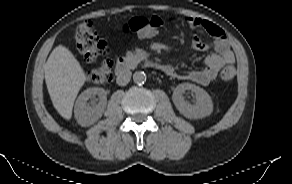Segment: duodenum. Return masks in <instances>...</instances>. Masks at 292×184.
Segmentation results:
<instances>
[{"instance_id": "410a0bca", "label": "duodenum", "mask_w": 292, "mask_h": 184, "mask_svg": "<svg viewBox=\"0 0 292 184\" xmlns=\"http://www.w3.org/2000/svg\"><path fill=\"white\" fill-rule=\"evenodd\" d=\"M129 66H130V60H128L127 58H120L117 61L115 71H116L117 76L120 79H123L125 77ZM156 67L161 71H164V72L168 71V66L164 64H156Z\"/></svg>"}]
</instances>
